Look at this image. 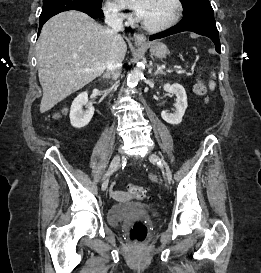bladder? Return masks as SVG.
Returning a JSON list of instances; mask_svg holds the SVG:
<instances>
[{
	"label": "bladder",
	"instance_id": "1",
	"mask_svg": "<svg viewBox=\"0 0 261 273\" xmlns=\"http://www.w3.org/2000/svg\"><path fill=\"white\" fill-rule=\"evenodd\" d=\"M148 215L158 219V213L147 205L134 202H121L113 205L108 211V221L118 226L128 216Z\"/></svg>",
	"mask_w": 261,
	"mask_h": 273
}]
</instances>
